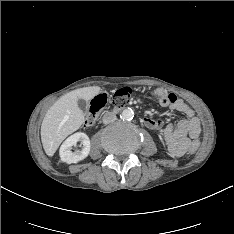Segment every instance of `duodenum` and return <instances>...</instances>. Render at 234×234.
<instances>
[{
  "mask_svg": "<svg viewBox=\"0 0 234 234\" xmlns=\"http://www.w3.org/2000/svg\"><path fill=\"white\" fill-rule=\"evenodd\" d=\"M124 107H114L113 111L116 113V112L120 111L121 109H123Z\"/></svg>",
  "mask_w": 234,
  "mask_h": 234,
  "instance_id": "duodenum-1",
  "label": "duodenum"
}]
</instances>
